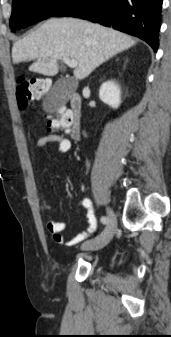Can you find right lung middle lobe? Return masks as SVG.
<instances>
[{
  "label": "right lung middle lobe",
  "mask_w": 171,
  "mask_h": 337,
  "mask_svg": "<svg viewBox=\"0 0 171 337\" xmlns=\"http://www.w3.org/2000/svg\"><path fill=\"white\" fill-rule=\"evenodd\" d=\"M75 0H13L10 27L14 32L54 16Z\"/></svg>",
  "instance_id": "right-lung-middle-lobe-1"
}]
</instances>
